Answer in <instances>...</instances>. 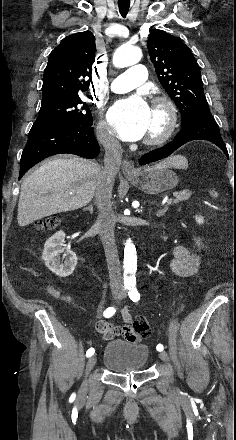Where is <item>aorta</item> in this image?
<instances>
[{
	"instance_id": "1",
	"label": "aorta",
	"mask_w": 236,
	"mask_h": 440,
	"mask_svg": "<svg viewBox=\"0 0 236 440\" xmlns=\"http://www.w3.org/2000/svg\"><path fill=\"white\" fill-rule=\"evenodd\" d=\"M142 58V51L138 47L122 46L116 50L113 56V64L117 68H123L138 63ZM137 270V254L135 245L128 239L124 248V278L132 280Z\"/></svg>"
}]
</instances>
